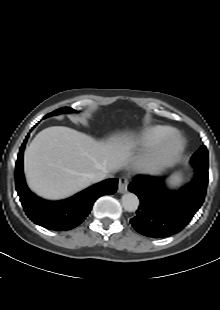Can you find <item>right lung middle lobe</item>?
<instances>
[{
  "instance_id": "dd1d6c3e",
  "label": "right lung middle lobe",
  "mask_w": 220,
  "mask_h": 310,
  "mask_svg": "<svg viewBox=\"0 0 220 310\" xmlns=\"http://www.w3.org/2000/svg\"><path fill=\"white\" fill-rule=\"evenodd\" d=\"M67 112H76V110L72 109V108H69V107H64V108H60L52 113H49L48 115L45 116L46 117H49L51 115H57V114H60V113H67Z\"/></svg>"
}]
</instances>
